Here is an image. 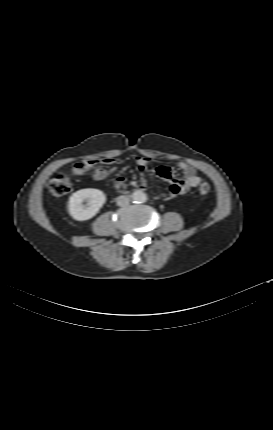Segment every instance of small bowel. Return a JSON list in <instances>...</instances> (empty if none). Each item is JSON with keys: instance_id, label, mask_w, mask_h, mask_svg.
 Wrapping results in <instances>:
<instances>
[{"instance_id": "obj_1", "label": "small bowel", "mask_w": 273, "mask_h": 430, "mask_svg": "<svg viewBox=\"0 0 273 430\" xmlns=\"http://www.w3.org/2000/svg\"><path fill=\"white\" fill-rule=\"evenodd\" d=\"M150 159L144 156H138L136 158V165L139 170L143 171L147 167ZM115 162L114 158H105V159H94V160H83L78 161L73 165V173L77 176L85 175L88 168L92 166H100L102 164H113ZM179 169L182 171L184 178L180 179L176 176L175 171L168 167H160L157 169V175L168 182L169 189L167 192H163L160 195L166 199L170 200L179 195L185 194L190 189L197 187L201 179L198 176L195 168L186 162L180 161L178 163ZM116 172V168H112L110 170H105L101 167H97L94 173L92 174V179L95 181H104L110 175ZM125 184V179L122 176H118L115 179V187L121 188ZM138 186L141 189L146 188V184L144 181H141Z\"/></svg>"}]
</instances>
